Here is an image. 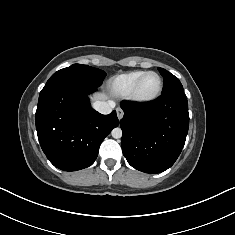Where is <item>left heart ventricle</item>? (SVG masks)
Returning a JSON list of instances; mask_svg holds the SVG:
<instances>
[{"mask_svg":"<svg viewBox=\"0 0 235 235\" xmlns=\"http://www.w3.org/2000/svg\"><path fill=\"white\" fill-rule=\"evenodd\" d=\"M159 81L156 75L150 74L144 78L142 81L139 94L141 96L147 97L153 95L158 89Z\"/></svg>","mask_w":235,"mask_h":235,"instance_id":"1","label":"left heart ventricle"}]
</instances>
